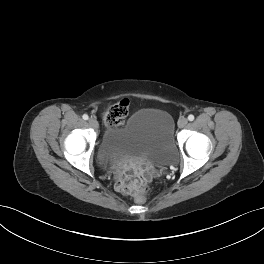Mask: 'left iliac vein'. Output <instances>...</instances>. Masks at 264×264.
Segmentation results:
<instances>
[{
	"instance_id": "4c4485c4",
	"label": "left iliac vein",
	"mask_w": 264,
	"mask_h": 264,
	"mask_svg": "<svg viewBox=\"0 0 264 264\" xmlns=\"http://www.w3.org/2000/svg\"><path fill=\"white\" fill-rule=\"evenodd\" d=\"M187 123H188V120L186 118L182 117L178 121V126L183 128L187 125Z\"/></svg>"
}]
</instances>
